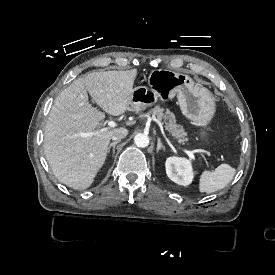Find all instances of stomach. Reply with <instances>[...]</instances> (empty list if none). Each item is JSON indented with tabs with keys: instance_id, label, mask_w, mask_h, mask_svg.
<instances>
[{
	"instance_id": "1",
	"label": "stomach",
	"mask_w": 275,
	"mask_h": 275,
	"mask_svg": "<svg viewBox=\"0 0 275 275\" xmlns=\"http://www.w3.org/2000/svg\"><path fill=\"white\" fill-rule=\"evenodd\" d=\"M143 78L148 87L133 89L130 111H141L158 100L168 102L176 96L182 115L200 127L195 139L203 143L209 140L210 124L216 113V101L210 90L194 83L188 75L171 70L149 67Z\"/></svg>"
}]
</instances>
